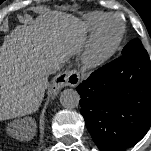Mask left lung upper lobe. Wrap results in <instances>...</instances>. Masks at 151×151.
Wrapping results in <instances>:
<instances>
[{"label": "left lung upper lobe", "instance_id": "left-lung-upper-lobe-1", "mask_svg": "<svg viewBox=\"0 0 151 151\" xmlns=\"http://www.w3.org/2000/svg\"><path fill=\"white\" fill-rule=\"evenodd\" d=\"M144 49L141 41L138 38L130 41L122 50V55H127L135 51Z\"/></svg>", "mask_w": 151, "mask_h": 151}]
</instances>
